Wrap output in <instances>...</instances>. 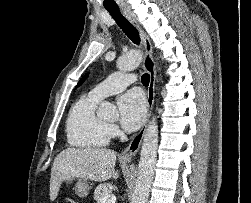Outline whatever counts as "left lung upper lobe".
Here are the masks:
<instances>
[{"instance_id":"left-lung-upper-lobe-1","label":"left lung upper lobe","mask_w":251,"mask_h":203,"mask_svg":"<svg viewBox=\"0 0 251 203\" xmlns=\"http://www.w3.org/2000/svg\"><path fill=\"white\" fill-rule=\"evenodd\" d=\"M86 77H87V75H85V76L82 78V80L78 83L77 86H79V85L86 79Z\"/></svg>"}]
</instances>
